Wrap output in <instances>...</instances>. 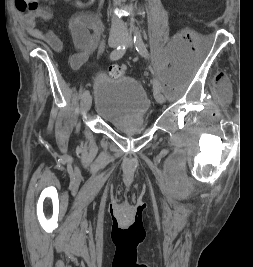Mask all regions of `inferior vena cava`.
Segmentation results:
<instances>
[{
    "label": "inferior vena cava",
    "mask_w": 253,
    "mask_h": 267,
    "mask_svg": "<svg viewBox=\"0 0 253 267\" xmlns=\"http://www.w3.org/2000/svg\"><path fill=\"white\" fill-rule=\"evenodd\" d=\"M113 2L114 6H120L122 0H113ZM111 28L112 30H115V28H124V24L120 18H115V16H113Z\"/></svg>",
    "instance_id": "602c4592"
}]
</instances>
